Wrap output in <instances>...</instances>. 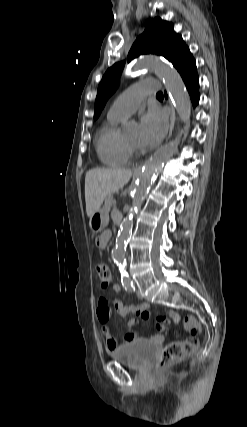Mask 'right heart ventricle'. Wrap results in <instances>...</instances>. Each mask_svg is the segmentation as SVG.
Listing matches in <instances>:
<instances>
[{"label": "right heart ventricle", "mask_w": 247, "mask_h": 427, "mask_svg": "<svg viewBox=\"0 0 247 427\" xmlns=\"http://www.w3.org/2000/svg\"><path fill=\"white\" fill-rule=\"evenodd\" d=\"M120 120L121 118L107 116V120L95 138V147L100 161L110 167L125 165L131 158L125 139L119 133Z\"/></svg>", "instance_id": "e07e8e85"}]
</instances>
